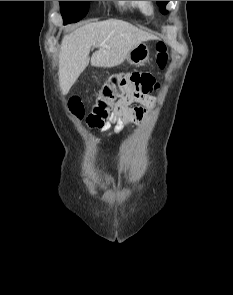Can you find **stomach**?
<instances>
[{"label":"stomach","instance_id":"1","mask_svg":"<svg viewBox=\"0 0 233 295\" xmlns=\"http://www.w3.org/2000/svg\"><path fill=\"white\" fill-rule=\"evenodd\" d=\"M149 54V46L141 42L129 51L126 59L131 65L142 66L149 60Z\"/></svg>","mask_w":233,"mask_h":295}]
</instances>
